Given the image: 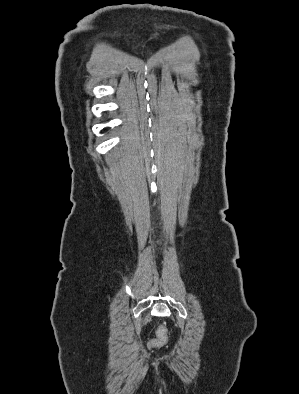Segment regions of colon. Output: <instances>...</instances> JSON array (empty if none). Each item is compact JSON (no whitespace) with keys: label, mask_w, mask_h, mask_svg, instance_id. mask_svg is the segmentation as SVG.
Instances as JSON below:
<instances>
[{"label":"colon","mask_w":299,"mask_h":394,"mask_svg":"<svg viewBox=\"0 0 299 394\" xmlns=\"http://www.w3.org/2000/svg\"><path fill=\"white\" fill-rule=\"evenodd\" d=\"M168 330L165 326L161 325L157 329L156 337L148 342L149 348H160L168 343Z\"/></svg>","instance_id":"colon-1"}]
</instances>
